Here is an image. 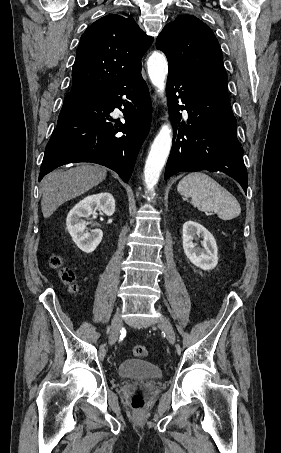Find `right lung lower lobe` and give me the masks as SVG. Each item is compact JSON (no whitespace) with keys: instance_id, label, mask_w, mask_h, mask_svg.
Listing matches in <instances>:
<instances>
[{"instance_id":"98d812e1","label":"right lung lower lobe","mask_w":281,"mask_h":453,"mask_svg":"<svg viewBox=\"0 0 281 453\" xmlns=\"http://www.w3.org/2000/svg\"><path fill=\"white\" fill-rule=\"evenodd\" d=\"M115 108L123 112L124 124L111 123L115 122L111 116ZM151 115L141 67L115 85L73 89L64 98L46 146L39 181L61 165L93 162L116 171L127 182L148 134Z\"/></svg>"}]
</instances>
